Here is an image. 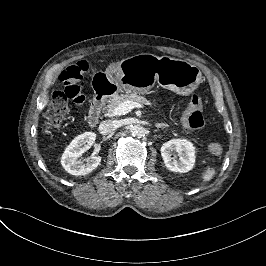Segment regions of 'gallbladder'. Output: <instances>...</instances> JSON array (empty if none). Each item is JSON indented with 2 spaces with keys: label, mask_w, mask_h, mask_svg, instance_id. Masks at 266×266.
I'll use <instances>...</instances> for the list:
<instances>
[{
  "label": "gallbladder",
  "mask_w": 266,
  "mask_h": 266,
  "mask_svg": "<svg viewBox=\"0 0 266 266\" xmlns=\"http://www.w3.org/2000/svg\"><path fill=\"white\" fill-rule=\"evenodd\" d=\"M106 73L108 75H113L115 77H118L121 74V71L114 67L113 64H111L107 69Z\"/></svg>",
  "instance_id": "1"
}]
</instances>
